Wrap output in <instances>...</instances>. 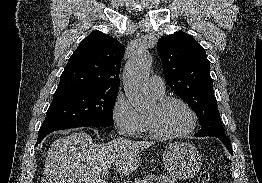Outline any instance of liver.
Segmentation results:
<instances>
[{
  "mask_svg": "<svg viewBox=\"0 0 262 183\" xmlns=\"http://www.w3.org/2000/svg\"><path fill=\"white\" fill-rule=\"evenodd\" d=\"M153 142L118 138L95 144L89 134L76 132L56 139L49 148L42 183H106L102 173L115 164L121 175L136 170L140 152Z\"/></svg>",
  "mask_w": 262,
  "mask_h": 183,
  "instance_id": "6515ba94",
  "label": "liver"
}]
</instances>
